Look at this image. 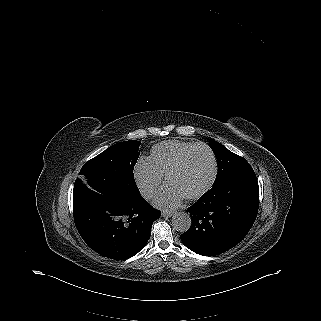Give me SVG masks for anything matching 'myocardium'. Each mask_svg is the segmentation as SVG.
<instances>
[{"label":"myocardium","mask_w":321,"mask_h":321,"mask_svg":"<svg viewBox=\"0 0 321 321\" xmlns=\"http://www.w3.org/2000/svg\"><path fill=\"white\" fill-rule=\"evenodd\" d=\"M198 150H206L208 151V153L211 155L212 157V161H213V172L212 175L209 179V181L200 189H198L195 192L192 193H186L184 194V197H186L187 199H195L198 198L200 196H202L203 194H205L214 184L216 177H217V173H218V163H217V159L215 156V153L213 152V150L205 144H198L196 147H194L192 150H190L186 156L181 159L171 170L170 172L166 175V182L168 186H173L171 184V180L178 175L182 170H184L188 163L190 162L192 156L194 155V153Z\"/></svg>","instance_id":"f54148a6"}]
</instances>
